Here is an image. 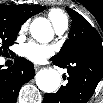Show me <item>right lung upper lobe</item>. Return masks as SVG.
I'll list each match as a JSON object with an SVG mask.
<instances>
[{
	"instance_id": "obj_1",
	"label": "right lung upper lobe",
	"mask_w": 103,
	"mask_h": 103,
	"mask_svg": "<svg viewBox=\"0 0 103 103\" xmlns=\"http://www.w3.org/2000/svg\"><path fill=\"white\" fill-rule=\"evenodd\" d=\"M45 7L38 5H1L0 18L14 25L21 26L31 16L41 12Z\"/></svg>"
}]
</instances>
